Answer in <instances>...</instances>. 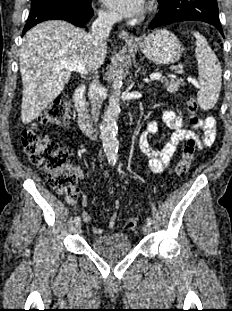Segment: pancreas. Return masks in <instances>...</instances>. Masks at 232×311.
<instances>
[{"label": "pancreas", "instance_id": "cf45deb5", "mask_svg": "<svg viewBox=\"0 0 232 311\" xmlns=\"http://www.w3.org/2000/svg\"><path fill=\"white\" fill-rule=\"evenodd\" d=\"M160 81L164 84V87L170 93H176L179 90V87L184 84L182 79H171L168 80L167 78L163 77Z\"/></svg>", "mask_w": 232, "mask_h": 311}]
</instances>
